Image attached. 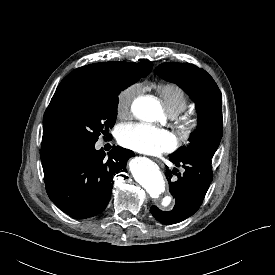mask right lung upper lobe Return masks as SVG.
<instances>
[{
  "label": "right lung upper lobe",
  "mask_w": 275,
  "mask_h": 275,
  "mask_svg": "<svg viewBox=\"0 0 275 275\" xmlns=\"http://www.w3.org/2000/svg\"><path fill=\"white\" fill-rule=\"evenodd\" d=\"M152 66L153 63L148 60L139 63L102 62L82 66L68 74L61 81L55 93L94 85L110 86L122 84L129 76L146 77L150 73ZM63 151H65L64 148L48 129L44 127L40 150L42 162L59 155Z\"/></svg>",
  "instance_id": "obj_1"
}]
</instances>
